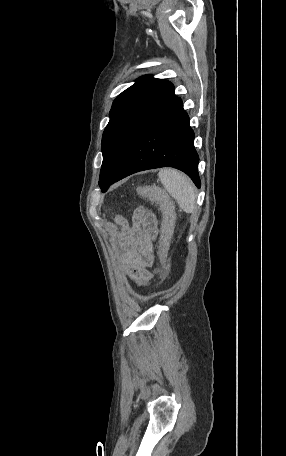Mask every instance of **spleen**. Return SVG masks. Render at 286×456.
Returning <instances> with one entry per match:
<instances>
[{
	"mask_svg": "<svg viewBox=\"0 0 286 456\" xmlns=\"http://www.w3.org/2000/svg\"><path fill=\"white\" fill-rule=\"evenodd\" d=\"M158 176L164 188L177 201L180 208L186 213H193L196 209V193L190 178L171 168L161 169Z\"/></svg>",
	"mask_w": 286,
	"mask_h": 456,
	"instance_id": "1",
	"label": "spleen"
}]
</instances>
